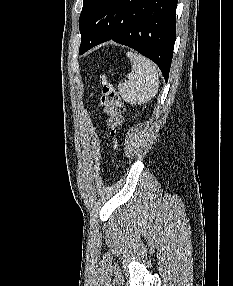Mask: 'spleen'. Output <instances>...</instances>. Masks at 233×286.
I'll return each instance as SVG.
<instances>
[{
  "label": "spleen",
  "mask_w": 233,
  "mask_h": 286,
  "mask_svg": "<svg viewBox=\"0 0 233 286\" xmlns=\"http://www.w3.org/2000/svg\"><path fill=\"white\" fill-rule=\"evenodd\" d=\"M132 71L128 80L118 84L119 94L126 103L141 105L151 100L159 88V69L146 57L128 51Z\"/></svg>",
  "instance_id": "spleen-1"
}]
</instances>
